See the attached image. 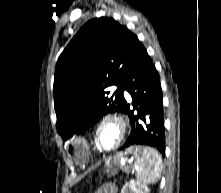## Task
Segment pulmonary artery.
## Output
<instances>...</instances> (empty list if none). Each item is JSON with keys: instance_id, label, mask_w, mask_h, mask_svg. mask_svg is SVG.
<instances>
[{"instance_id": "pulmonary-artery-1", "label": "pulmonary artery", "mask_w": 221, "mask_h": 193, "mask_svg": "<svg viewBox=\"0 0 221 193\" xmlns=\"http://www.w3.org/2000/svg\"><path fill=\"white\" fill-rule=\"evenodd\" d=\"M124 95H125V97H126L127 99H130V95H129L128 92L124 91Z\"/></svg>"}]
</instances>
